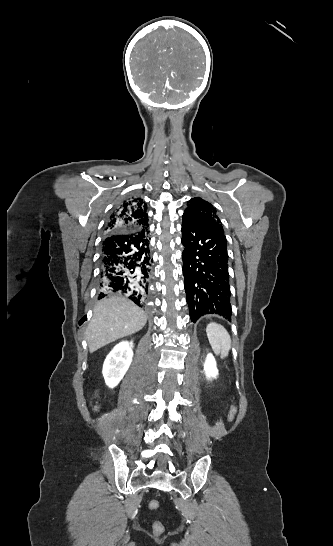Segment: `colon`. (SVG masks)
Listing matches in <instances>:
<instances>
[{"mask_svg":"<svg viewBox=\"0 0 333 546\" xmlns=\"http://www.w3.org/2000/svg\"><path fill=\"white\" fill-rule=\"evenodd\" d=\"M237 408L236 406H232L228 413V420L233 421L236 417ZM160 504L157 500H151L149 502V509L150 510H157L159 508ZM153 531L156 534H162L164 532V526L161 522L157 521L153 524Z\"/></svg>","mask_w":333,"mask_h":546,"instance_id":"obj_1","label":"colon"}]
</instances>
